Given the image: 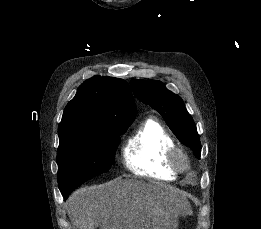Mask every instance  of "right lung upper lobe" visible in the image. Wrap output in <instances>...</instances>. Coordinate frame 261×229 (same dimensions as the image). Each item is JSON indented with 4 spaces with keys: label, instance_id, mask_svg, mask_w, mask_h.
<instances>
[{
    "label": "right lung upper lobe",
    "instance_id": "1",
    "mask_svg": "<svg viewBox=\"0 0 261 229\" xmlns=\"http://www.w3.org/2000/svg\"><path fill=\"white\" fill-rule=\"evenodd\" d=\"M135 116L127 82L96 75L80 85L65 107L58 127L59 145L96 135L98 128L131 124Z\"/></svg>",
    "mask_w": 261,
    "mask_h": 229
}]
</instances>
